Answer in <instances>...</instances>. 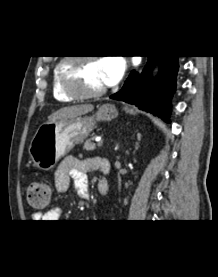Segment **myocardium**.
<instances>
[{"label": "myocardium", "instance_id": "1", "mask_svg": "<svg viewBox=\"0 0 218 277\" xmlns=\"http://www.w3.org/2000/svg\"><path fill=\"white\" fill-rule=\"evenodd\" d=\"M96 61L95 57H69L64 58L57 65V74L61 90L73 99H89L102 96L106 92V87L94 90L83 91L77 84L76 76L71 71V66L74 64H81L86 61Z\"/></svg>", "mask_w": 218, "mask_h": 277}]
</instances>
